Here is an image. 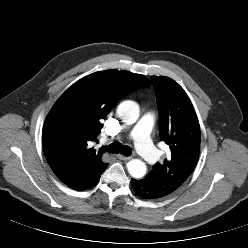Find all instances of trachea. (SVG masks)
Returning a JSON list of instances; mask_svg holds the SVG:
<instances>
[{
  "mask_svg": "<svg viewBox=\"0 0 248 248\" xmlns=\"http://www.w3.org/2000/svg\"><path fill=\"white\" fill-rule=\"evenodd\" d=\"M109 153L118 154L121 153L124 156H130L132 149L130 146H122L120 142H113L105 148Z\"/></svg>",
  "mask_w": 248,
  "mask_h": 248,
  "instance_id": "obj_1",
  "label": "trachea"
}]
</instances>
